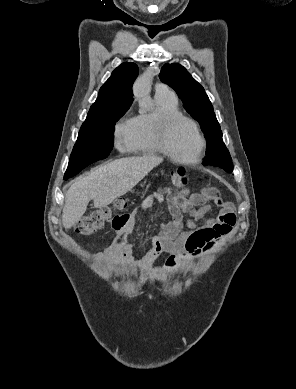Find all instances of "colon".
I'll use <instances>...</instances> for the list:
<instances>
[{
    "mask_svg": "<svg viewBox=\"0 0 296 389\" xmlns=\"http://www.w3.org/2000/svg\"><path fill=\"white\" fill-rule=\"evenodd\" d=\"M172 183L183 188L188 184L189 178L185 169H178L172 173ZM126 200L119 199L113 205L95 209L83 216L76 225V232L82 235H91L101 229L105 224L111 222L122 224L125 221V215L119 214L126 208Z\"/></svg>",
    "mask_w": 296,
    "mask_h": 389,
    "instance_id": "obj_1",
    "label": "colon"
}]
</instances>
